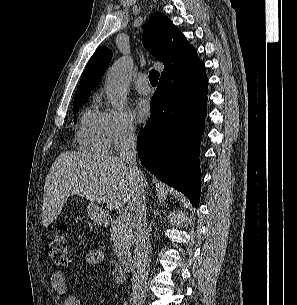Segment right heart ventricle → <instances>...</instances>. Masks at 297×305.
Returning a JSON list of instances; mask_svg holds the SVG:
<instances>
[{
  "label": "right heart ventricle",
  "mask_w": 297,
  "mask_h": 305,
  "mask_svg": "<svg viewBox=\"0 0 297 305\" xmlns=\"http://www.w3.org/2000/svg\"><path fill=\"white\" fill-rule=\"evenodd\" d=\"M76 142L83 151L107 153L108 137L104 126V113L96 106H88L82 113L76 130Z\"/></svg>",
  "instance_id": "right-heart-ventricle-1"
}]
</instances>
